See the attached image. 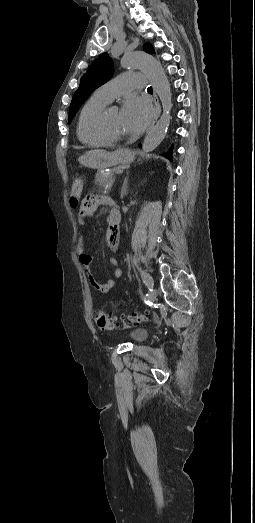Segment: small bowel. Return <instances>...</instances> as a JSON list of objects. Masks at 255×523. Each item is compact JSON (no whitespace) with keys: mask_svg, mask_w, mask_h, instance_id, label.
I'll return each mask as SVG.
<instances>
[{"mask_svg":"<svg viewBox=\"0 0 255 523\" xmlns=\"http://www.w3.org/2000/svg\"><path fill=\"white\" fill-rule=\"evenodd\" d=\"M107 202H108V199L105 197H97V196L88 197L87 200L85 201V203H83L79 208L78 215H77L78 224L80 226H84L86 219L94 214V212L97 210L99 204H103V203H107ZM118 238H119L118 229L108 227V229L106 231V239H107V249L110 254L117 251ZM76 252L78 254L80 262L82 263V265L85 267V269L87 271L88 280H89L90 285L100 293L110 292L113 289V287L115 286V280L108 279L107 281L101 283L95 278V276L91 270L93 256L90 255L89 253H87L85 250L83 234H81L78 237L77 245H76ZM109 263L116 267L114 270V276L116 278L121 277L122 270L117 267L118 266L117 259L114 256L110 255Z\"/></svg>","mask_w":255,"mask_h":523,"instance_id":"1","label":"small bowel"}]
</instances>
